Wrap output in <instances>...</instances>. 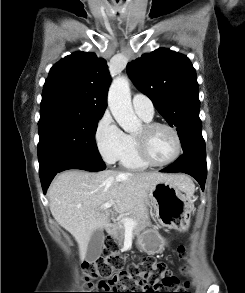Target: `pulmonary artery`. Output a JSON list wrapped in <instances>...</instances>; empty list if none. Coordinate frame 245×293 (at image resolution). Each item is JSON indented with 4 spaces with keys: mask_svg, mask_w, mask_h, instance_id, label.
<instances>
[{
    "mask_svg": "<svg viewBox=\"0 0 245 293\" xmlns=\"http://www.w3.org/2000/svg\"><path fill=\"white\" fill-rule=\"evenodd\" d=\"M132 104L136 114L145 119L153 118L154 105L148 96L137 93L133 96Z\"/></svg>",
    "mask_w": 245,
    "mask_h": 293,
    "instance_id": "obj_1",
    "label": "pulmonary artery"
}]
</instances>
